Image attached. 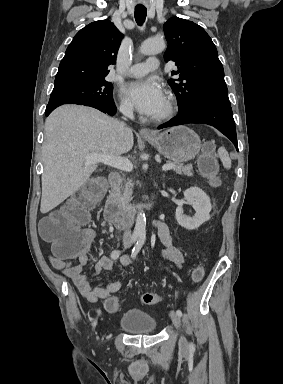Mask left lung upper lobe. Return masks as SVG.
<instances>
[{
	"instance_id": "5c2ea615",
	"label": "left lung upper lobe",
	"mask_w": 283,
	"mask_h": 384,
	"mask_svg": "<svg viewBox=\"0 0 283 384\" xmlns=\"http://www.w3.org/2000/svg\"><path fill=\"white\" fill-rule=\"evenodd\" d=\"M163 28L168 41L164 60L178 67L172 74L179 78L168 80L178 99V113L201 104L229 102L224 69L206 31L178 17L170 18Z\"/></svg>"
}]
</instances>
